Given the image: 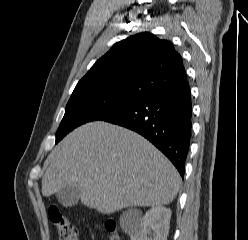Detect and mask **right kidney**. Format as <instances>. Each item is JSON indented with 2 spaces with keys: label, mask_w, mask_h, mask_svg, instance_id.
Returning <instances> with one entry per match:
<instances>
[{
  "label": "right kidney",
  "mask_w": 248,
  "mask_h": 240,
  "mask_svg": "<svg viewBox=\"0 0 248 240\" xmlns=\"http://www.w3.org/2000/svg\"><path fill=\"white\" fill-rule=\"evenodd\" d=\"M171 210L166 207H152L143 218L129 228L131 240H167ZM153 231V233H152Z\"/></svg>",
  "instance_id": "obj_1"
}]
</instances>
